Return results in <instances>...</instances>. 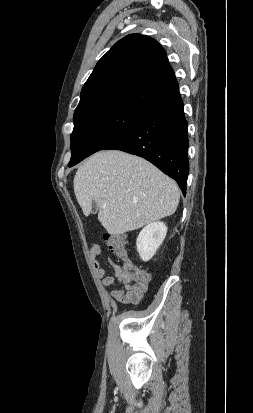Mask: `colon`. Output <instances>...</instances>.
<instances>
[{
    "label": "colon",
    "mask_w": 253,
    "mask_h": 413,
    "mask_svg": "<svg viewBox=\"0 0 253 413\" xmlns=\"http://www.w3.org/2000/svg\"><path fill=\"white\" fill-rule=\"evenodd\" d=\"M103 241L116 256L124 261L123 273L137 284H148L149 275L146 271L138 268L128 257L126 249V238L124 235L104 233Z\"/></svg>",
    "instance_id": "obj_1"
}]
</instances>
